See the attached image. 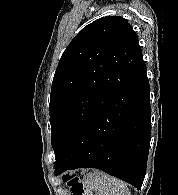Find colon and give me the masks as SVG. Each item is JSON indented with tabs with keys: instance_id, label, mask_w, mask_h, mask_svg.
<instances>
[{
	"instance_id": "5ec220e1",
	"label": "colon",
	"mask_w": 178,
	"mask_h": 195,
	"mask_svg": "<svg viewBox=\"0 0 178 195\" xmlns=\"http://www.w3.org/2000/svg\"><path fill=\"white\" fill-rule=\"evenodd\" d=\"M64 181L71 188L72 195H93L76 175H66Z\"/></svg>"
}]
</instances>
